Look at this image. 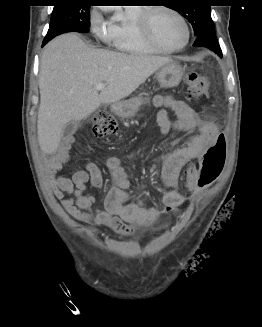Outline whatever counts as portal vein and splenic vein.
Here are the masks:
<instances>
[{"mask_svg": "<svg viewBox=\"0 0 262 327\" xmlns=\"http://www.w3.org/2000/svg\"><path fill=\"white\" fill-rule=\"evenodd\" d=\"M106 87L104 83H99L94 86L96 90H103Z\"/></svg>", "mask_w": 262, "mask_h": 327, "instance_id": "18ae733b", "label": "portal vein and splenic vein"}]
</instances>
